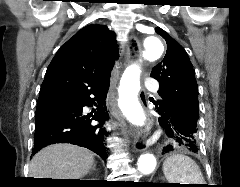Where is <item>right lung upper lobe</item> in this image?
I'll return each mask as SVG.
<instances>
[{"label": "right lung upper lobe", "instance_id": "1", "mask_svg": "<svg viewBox=\"0 0 240 187\" xmlns=\"http://www.w3.org/2000/svg\"><path fill=\"white\" fill-rule=\"evenodd\" d=\"M118 56L115 34L103 25H87L57 51L42 83L38 103L72 97L110 80Z\"/></svg>", "mask_w": 240, "mask_h": 187}]
</instances>
